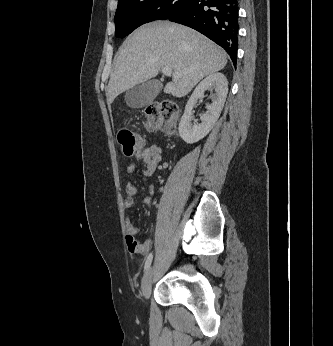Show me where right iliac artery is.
<instances>
[{
    "mask_svg": "<svg viewBox=\"0 0 333 346\" xmlns=\"http://www.w3.org/2000/svg\"><path fill=\"white\" fill-rule=\"evenodd\" d=\"M153 255L150 253L146 259L145 266H144V271H147L151 265Z\"/></svg>",
    "mask_w": 333,
    "mask_h": 346,
    "instance_id": "obj_1",
    "label": "right iliac artery"
}]
</instances>
